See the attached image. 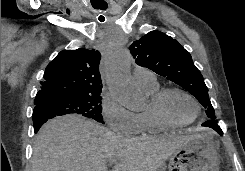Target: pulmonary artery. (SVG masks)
Returning <instances> with one entry per match:
<instances>
[{
	"label": "pulmonary artery",
	"instance_id": "obj_1",
	"mask_svg": "<svg viewBox=\"0 0 245 171\" xmlns=\"http://www.w3.org/2000/svg\"><path fill=\"white\" fill-rule=\"evenodd\" d=\"M133 78L141 87H150L157 83L155 74L144 67H135L133 70Z\"/></svg>",
	"mask_w": 245,
	"mask_h": 171
}]
</instances>
